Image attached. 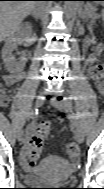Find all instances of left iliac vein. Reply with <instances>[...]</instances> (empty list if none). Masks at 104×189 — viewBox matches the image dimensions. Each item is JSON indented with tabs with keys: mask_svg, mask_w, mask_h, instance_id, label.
<instances>
[{
	"mask_svg": "<svg viewBox=\"0 0 104 189\" xmlns=\"http://www.w3.org/2000/svg\"><path fill=\"white\" fill-rule=\"evenodd\" d=\"M51 104L61 111L65 112L67 117L71 120L74 131H75V139L77 142L82 143L84 141V135L82 132V129L79 125L78 120L76 119V115L72 108L66 104V102L60 101V100H53L51 101Z\"/></svg>",
	"mask_w": 104,
	"mask_h": 189,
	"instance_id": "4c4485c4",
	"label": "left iliac vein"
}]
</instances>
